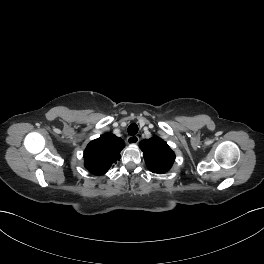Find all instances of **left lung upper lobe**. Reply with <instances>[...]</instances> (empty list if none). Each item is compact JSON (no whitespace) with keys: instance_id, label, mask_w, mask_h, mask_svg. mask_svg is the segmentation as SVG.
I'll return each instance as SVG.
<instances>
[{"instance_id":"1","label":"left lung upper lobe","mask_w":264,"mask_h":264,"mask_svg":"<svg viewBox=\"0 0 264 264\" xmlns=\"http://www.w3.org/2000/svg\"><path fill=\"white\" fill-rule=\"evenodd\" d=\"M140 148L148 169L154 173H165L175 160L174 152L157 136L141 141Z\"/></svg>"}]
</instances>
